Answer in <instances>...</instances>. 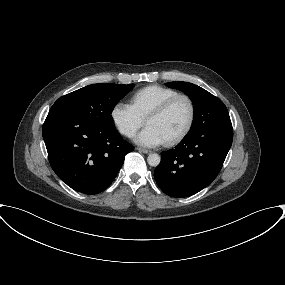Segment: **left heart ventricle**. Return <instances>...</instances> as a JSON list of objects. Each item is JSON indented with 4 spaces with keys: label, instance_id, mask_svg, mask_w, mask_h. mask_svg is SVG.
Listing matches in <instances>:
<instances>
[{
    "label": "left heart ventricle",
    "instance_id": "b2bd125f",
    "mask_svg": "<svg viewBox=\"0 0 285 285\" xmlns=\"http://www.w3.org/2000/svg\"><path fill=\"white\" fill-rule=\"evenodd\" d=\"M188 117L189 106L187 102L179 100L163 115L149 119L146 124L154 127L166 141L177 135L184 128Z\"/></svg>",
    "mask_w": 285,
    "mask_h": 285
}]
</instances>
